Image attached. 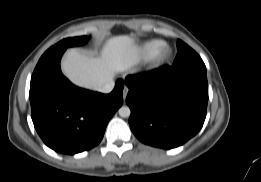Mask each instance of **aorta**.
Masks as SVG:
<instances>
[{"mask_svg":"<svg viewBox=\"0 0 261 182\" xmlns=\"http://www.w3.org/2000/svg\"><path fill=\"white\" fill-rule=\"evenodd\" d=\"M118 113L121 117L123 118H127L130 116L131 111L130 108L128 106H122L119 110Z\"/></svg>","mask_w":261,"mask_h":182,"instance_id":"obj_1","label":"aorta"}]
</instances>
